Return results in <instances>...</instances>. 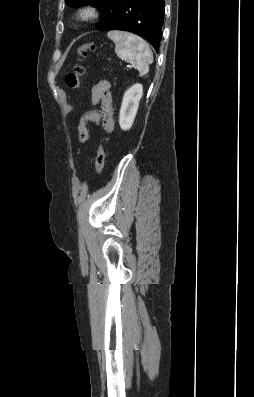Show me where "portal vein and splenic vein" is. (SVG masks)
Segmentation results:
<instances>
[{
	"mask_svg": "<svg viewBox=\"0 0 254 397\" xmlns=\"http://www.w3.org/2000/svg\"><path fill=\"white\" fill-rule=\"evenodd\" d=\"M127 67H128V68H131V67H132V65H127Z\"/></svg>",
	"mask_w": 254,
	"mask_h": 397,
	"instance_id": "portal-vein-and-splenic-vein-1",
	"label": "portal vein and splenic vein"
}]
</instances>
